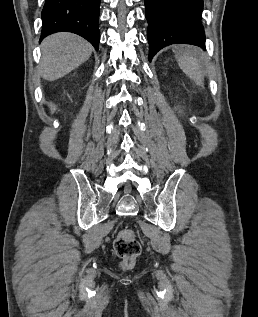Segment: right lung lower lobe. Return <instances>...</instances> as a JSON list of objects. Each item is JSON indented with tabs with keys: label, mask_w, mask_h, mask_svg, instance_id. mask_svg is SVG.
<instances>
[{
	"label": "right lung lower lobe",
	"mask_w": 258,
	"mask_h": 317,
	"mask_svg": "<svg viewBox=\"0 0 258 317\" xmlns=\"http://www.w3.org/2000/svg\"><path fill=\"white\" fill-rule=\"evenodd\" d=\"M101 0H46L42 10V34L46 36L67 31L88 40L98 50V29Z\"/></svg>",
	"instance_id": "obj_1"
}]
</instances>
